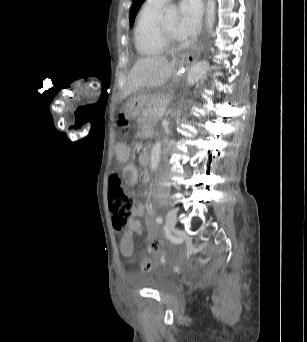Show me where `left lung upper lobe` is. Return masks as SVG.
<instances>
[{"label":"left lung upper lobe","mask_w":307,"mask_h":342,"mask_svg":"<svg viewBox=\"0 0 307 342\" xmlns=\"http://www.w3.org/2000/svg\"><path fill=\"white\" fill-rule=\"evenodd\" d=\"M145 0H133L131 9H130V14H129V21H130V25L133 24L134 19L136 17V14L138 12V10L141 7V4L144 2Z\"/></svg>","instance_id":"5c2ea615"}]
</instances>
